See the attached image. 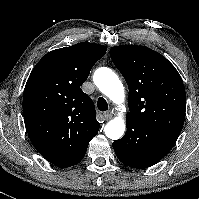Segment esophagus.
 Listing matches in <instances>:
<instances>
[{"label": "esophagus", "mask_w": 199, "mask_h": 199, "mask_svg": "<svg viewBox=\"0 0 199 199\" xmlns=\"http://www.w3.org/2000/svg\"><path fill=\"white\" fill-rule=\"evenodd\" d=\"M113 117V113L112 112H106L104 113V119L107 121V120H110L111 118Z\"/></svg>", "instance_id": "1"}]
</instances>
